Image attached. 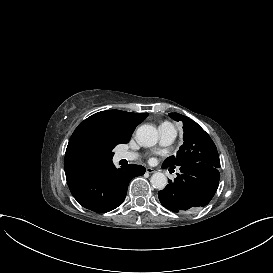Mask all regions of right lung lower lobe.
<instances>
[{
  "label": "right lung lower lobe",
  "instance_id": "98d812e1",
  "mask_svg": "<svg viewBox=\"0 0 273 273\" xmlns=\"http://www.w3.org/2000/svg\"><path fill=\"white\" fill-rule=\"evenodd\" d=\"M144 173L145 168L140 165L131 164L117 169L110 162L69 188L80 205L97 213H105L124 201L131 179Z\"/></svg>",
  "mask_w": 273,
  "mask_h": 273
}]
</instances>
